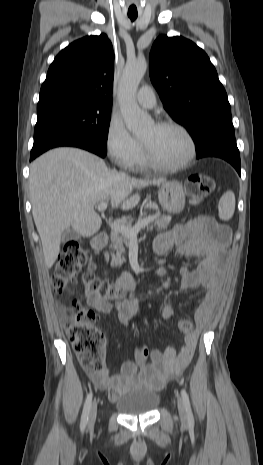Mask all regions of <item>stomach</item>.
I'll list each match as a JSON object with an SVG mask.
<instances>
[{
	"label": "stomach",
	"instance_id": "0dacf381",
	"mask_svg": "<svg viewBox=\"0 0 263 465\" xmlns=\"http://www.w3.org/2000/svg\"><path fill=\"white\" fill-rule=\"evenodd\" d=\"M159 203L169 213H180L185 207V193L181 183L165 182L158 190Z\"/></svg>",
	"mask_w": 263,
	"mask_h": 465
}]
</instances>
